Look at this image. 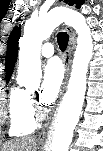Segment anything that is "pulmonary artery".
Wrapping results in <instances>:
<instances>
[{
    "label": "pulmonary artery",
    "instance_id": "e3ab8cb5",
    "mask_svg": "<svg viewBox=\"0 0 103 151\" xmlns=\"http://www.w3.org/2000/svg\"><path fill=\"white\" fill-rule=\"evenodd\" d=\"M54 54V47L51 43H45L41 48V55L43 57H51Z\"/></svg>",
    "mask_w": 103,
    "mask_h": 151
}]
</instances>
